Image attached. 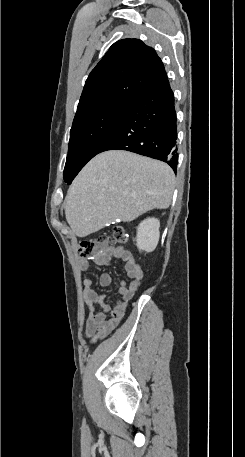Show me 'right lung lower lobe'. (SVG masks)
<instances>
[{
    "mask_svg": "<svg viewBox=\"0 0 245 457\" xmlns=\"http://www.w3.org/2000/svg\"><path fill=\"white\" fill-rule=\"evenodd\" d=\"M177 118L169 81L146 91L129 108L100 152L127 150L167 162L176 171Z\"/></svg>",
    "mask_w": 245,
    "mask_h": 457,
    "instance_id": "obj_1",
    "label": "right lung lower lobe"
}]
</instances>
